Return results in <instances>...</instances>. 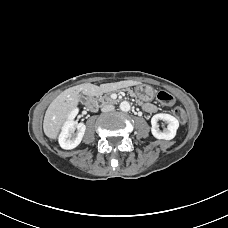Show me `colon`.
<instances>
[{
    "label": "colon",
    "mask_w": 228,
    "mask_h": 228,
    "mask_svg": "<svg viewBox=\"0 0 228 228\" xmlns=\"http://www.w3.org/2000/svg\"><path fill=\"white\" fill-rule=\"evenodd\" d=\"M157 98L163 105L171 106V105L174 104V97L171 94H169L168 92L160 91L157 94ZM174 115L176 116V118L181 123H185V121H186V112L184 111L183 108L176 107L174 109Z\"/></svg>",
    "instance_id": "obj_1"
}]
</instances>
